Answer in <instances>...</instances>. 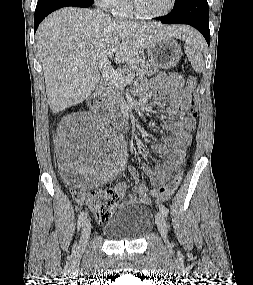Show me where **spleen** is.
Returning <instances> with one entry per match:
<instances>
[{"label":"spleen","mask_w":253,"mask_h":285,"mask_svg":"<svg viewBox=\"0 0 253 285\" xmlns=\"http://www.w3.org/2000/svg\"><path fill=\"white\" fill-rule=\"evenodd\" d=\"M184 40V50L191 62L192 68L195 72L201 73L204 68V60L201 52L205 49V42L202 36L193 30L184 37Z\"/></svg>","instance_id":"3e777b00"}]
</instances>
